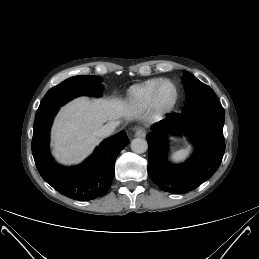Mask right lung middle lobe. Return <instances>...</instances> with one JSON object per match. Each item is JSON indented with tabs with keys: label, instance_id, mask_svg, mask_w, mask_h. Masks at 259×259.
I'll use <instances>...</instances> for the list:
<instances>
[{
	"label": "right lung middle lobe",
	"instance_id": "obj_1",
	"mask_svg": "<svg viewBox=\"0 0 259 259\" xmlns=\"http://www.w3.org/2000/svg\"><path fill=\"white\" fill-rule=\"evenodd\" d=\"M102 91L103 86L99 77L81 75L68 78L46 93L39 105L36 117L63 106L75 97L81 95L101 96Z\"/></svg>",
	"mask_w": 259,
	"mask_h": 259
}]
</instances>
